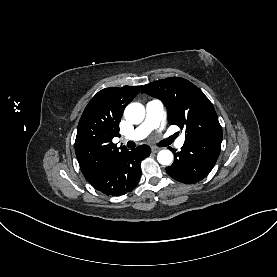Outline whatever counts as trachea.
<instances>
[{
  "mask_svg": "<svg viewBox=\"0 0 277 277\" xmlns=\"http://www.w3.org/2000/svg\"><path fill=\"white\" fill-rule=\"evenodd\" d=\"M174 139H175V136H172V137H170L169 139H167V140L165 141V143L168 145V144H170ZM127 146H128L129 148H133V147L136 146V144H135L134 142H132V141H129V142L127 143Z\"/></svg>",
  "mask_w": 277,
  "mask_h": 277,
  "instance_id": "obj_1",
  "label": "trachea"
}]
</instances>
